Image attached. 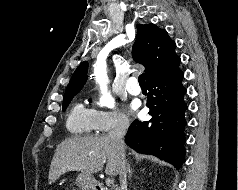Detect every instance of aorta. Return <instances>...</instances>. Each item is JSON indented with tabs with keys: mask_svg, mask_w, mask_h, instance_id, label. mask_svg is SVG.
Returning a JSON list of instances; mask_svg holds the SVG:
<instances>
[{
	"mask_svg": "<svg viewBox=\"0 0 238 190\" xmlns=\"http://www.w3.org/2000/svg\"><path fill=\"white\" fill-rule=\"evenodd\" d=\"M95 76L96 81L99 83L101 90L105 95L101 99V105L107 106L109 108H114V99L107 94V74H106V68L104 64H98L95 67Z\"/></svg>",
	"mask_w": 238,
	"mask_h": 190,
	"instance_id": "762f6f07",
	"label": "aorta"
}]
</instances>
